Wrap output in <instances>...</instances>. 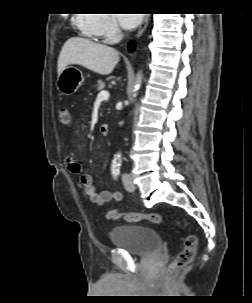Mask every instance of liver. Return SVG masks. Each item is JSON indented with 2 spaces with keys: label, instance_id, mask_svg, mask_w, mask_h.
Segmentation results:
<instances>
[{
  "label": "liver",
  "instance_id": "liver-1",
  "mask_svg": "<svg viewBox=\"0 0 252 303\" xmlns=\"http://www.w3.org/2000/svg\"><path fill=\"white\" fill-rule=\"evenodd\" d=\"M119 61V52L114 48L95 43L85 38L68 39L58 58V75L69 65L83 66L101 75L110 74Z\"/></svg>",
  "mask_w": 252,
  "mask_h": 303
}]
</instances>
